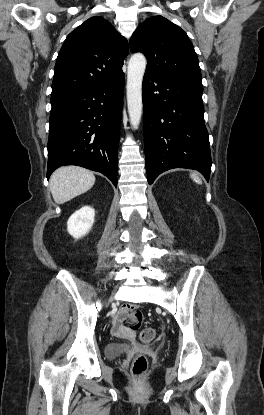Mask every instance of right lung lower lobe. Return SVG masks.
<instances>
[{
    "label": "right lung lower lobe",
    "instance_id": "1",
    "mask_svg": "<svg viewBox=\"0 0 264 415\" xmlns=\"http://www.w3.org/2000/svg\"><path fill=\"white\" fill-rule=\"evenodd\" d=\"M124 73L114 80L51 97L47 178L63 165L107 176L117 186Z\"/></svg>",
    "mask_w": 264,
    "mask_h": 415
}]
</instances>
